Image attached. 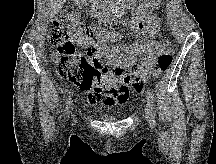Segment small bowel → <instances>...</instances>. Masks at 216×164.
I'll return each instance as SVG.
<instances>
[{"label": "small bowel", "mask_w": 216, "mask_h": 164, "mask_svg": "<svg viewBox=\"0 0 216 164\" xmlns=\"http://www.w3.org/2000/svg\"><path fill=\"white\" fill-rule=\"evenodd\" d=\"M161 2L162 0H144L135 8L130 29L137 35L145 36L146 39L132 45L118 43L108 46L107 42L118 40L115 33L90 25L79 26L74 35L76 43L86 49L92 60L104 64L101 61L104 57L113 66L110 69L105 65L107 69L102 76L101 86L88 92L87 100L91 105L112 107L124 104L129 98V85L134 73L141 67L153 64L155 54L168 49L166 41L156 39L160 28L157 11ZM69 17L78 22L76 14H70ZM125 69L130 72H125Z\"/></svg>", "instance_id": "1"}]
</instances>
